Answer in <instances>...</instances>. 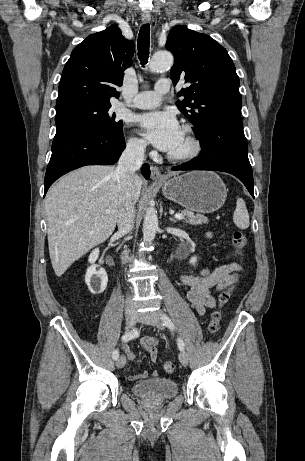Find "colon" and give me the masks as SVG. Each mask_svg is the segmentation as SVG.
Instances as JSON below:
<instances>
[{"instance_id":"1","label":"colon","mask_w":305,"mask_h":461,"mask_svg":"<svg viewBox=\"0 0 305 461\" xmlns=\"http://www.w3.org/2000/svg\"><path fill=\"white\" fill-rule=\"evenodd\" d=\"M232 243H233L234 248L239 253H241V251L243 250V248L245 247L247 243V238L242 231H236L233 234ZM232 291H233V288L230 287V288L223 290L219 294L218 296L219 308H217L216 310L212 312L211 317H210L209 326H208V329L211 333H217L219 331L220 323L222 319L220 308L230 300ZM164 370L167 373H173L175 371V364L171 361H166L164 363Z\"/></svg>"}]
</instances>
